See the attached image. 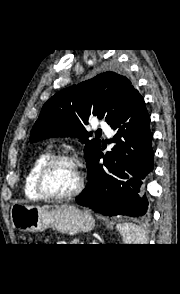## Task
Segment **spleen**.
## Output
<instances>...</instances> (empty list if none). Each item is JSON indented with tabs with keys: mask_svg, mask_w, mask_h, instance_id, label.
<instances>
[{
	"mask_svg": "<svg viewBox=\"0 0 180 294\" xmlns=\"http://www.w3.org/2000/svg\"><path fill=\"white\" fill-rule=\"evenodd\" d=\"M117 229L122 235L124 244H146L148 241L145 230L133 223H119Z\"/></svg>",
	"mask_w": 180,
	"mask_h": 294,
	"instance_id": "spleen-1",
	"label": "spleen"
}]
</instances>
